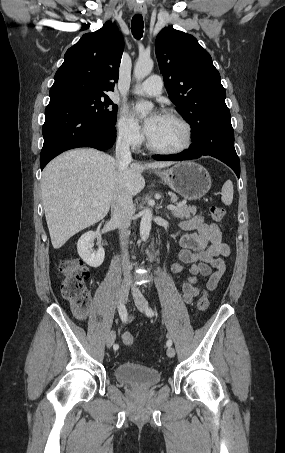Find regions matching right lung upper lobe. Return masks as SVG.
I'll return each instance as SVG.
<instances>
[{"instance_id":"cb5924a9","label":"right lung upper lobe","mask_w":285,"mask_h":453,"mask_svg":"<svg viewBox=\"0 0 285 453\" xmlns=\"http://www.w3.org/2000/svg\"><path fill=\"white\" fill-rule=\"evenodd\" d=\"M123 49L122 34L110 21L101 29L84 34L65 53L50 89V99L68 93L105 94L114 91Z\"/></svg>"}]
</instances>
